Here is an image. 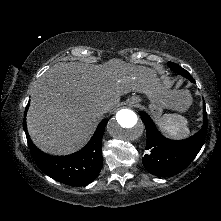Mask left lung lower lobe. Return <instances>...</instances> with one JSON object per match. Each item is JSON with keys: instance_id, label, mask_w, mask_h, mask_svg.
I'll use <instances>...</instances> for the list:
<instances>
[{"instance_id": "1", "label": "left lung lower lobe", "mask_w": 221, "mask_h": 221, "mask_svg": "<svg viewBox=\"0 0 221 221\" xmlns=\"http://www.w3.org/2000/svg\"><path fill=\"white\" fill-rule=\"evenodd\" d=\"M184 77L195 83L188 71ZM147 133L146 150L149 153L142 158L143 165L153 175L164 177L175 175L184 170L196 157L204 144L207 132V113L203 105V126L199 132L186 140H170L162 136L151 118L141 113Z\"/></svg>"}]
</instances>
